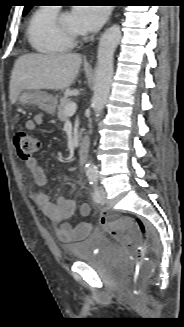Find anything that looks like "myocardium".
Masks as SVG:
<instances>
[{
  "label": "myocardium",
  "instance_id": "myocardium-1",
  "mask_svg": "<svg viewBox=\"0 0 184 327\" xmlns=\"http://www.w3.org/2000/svg\"><path fill=\"white\" fill-rule=\"evenodd\" d=\"M64 14H65V12L58 13V15L55 19V25H56L58 31L65 38H67L72 43H76L82 38V35L79 32L71 31L65 27L64 22H63Z\"/></svg>",
  "mask_w": 184,
  "mask_h": 327
}]
</instances>
